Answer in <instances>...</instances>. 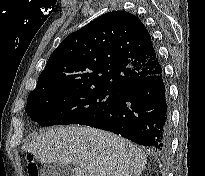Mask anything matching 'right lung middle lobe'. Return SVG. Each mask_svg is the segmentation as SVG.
<instances>
[{"label": "right lung middle lobe", "instance_id": "1", "mask_svg": "<svg viewBox=\"0 0 205 176\" xmlns=\"http://www.w3.org/2000/svg\"><path fill=\"white\" fill-rule=\"evenodd\" d=\"M109 87L68 88L28 96L26 112L40 126L86 125L119 95Z\"/></svg>", "mask_w": 205, "mask_h": 176}]
</instances>
